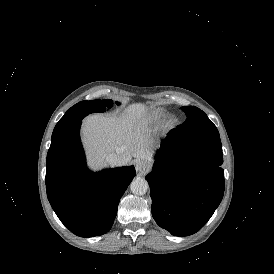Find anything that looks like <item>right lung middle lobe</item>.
<instances>
[{
  "instance_id": "dd1d6c3e",
  "label": "right lung middle lobe",
  "mask_w": 274,
  "mask_h": 274,
  "mask_svg": "<svg viewBox=\"0 0 274 274\" xmlns=\"http://www.w3.org/2000/svg\"><path fill=\"white\" fill-rule=\"evenodd\" d=\"M118 104V102H116ZM113 105L112 100H91L81 101L72 106L65 115L56 124L51 140L63 134L66 130L72 127L79 119L93 112H104L106 108Z\"/></svg>"
}]
</instances>
